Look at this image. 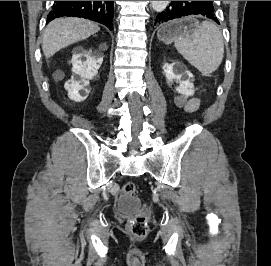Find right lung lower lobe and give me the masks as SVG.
<instances>
[{
	"mask_svg": "<svg viewBox=\"0 0 271 266\" xmlns=\"http://www.w3.org/2000/svg\"><path fill=\"white\" fill-rule=\"evenodd\" d=\"M114 1H54L52 11L48 14L47 23L63 17H83L104 24L113 29Z\"/></svg>",
	"mask_w": 271,
	"mask_h": 266,
	"instance_id": "right-lung-lower-lobe-1",
	"label": "right lung lower lobe"
}]
</instances>
